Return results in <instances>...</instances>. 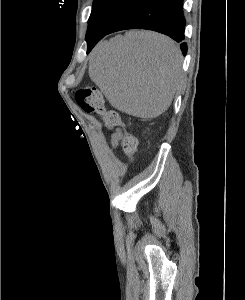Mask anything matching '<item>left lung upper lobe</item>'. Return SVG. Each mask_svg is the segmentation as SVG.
<instances>
[{"instance_id": "5c2ea615", "label": "left lung upper lobe", "mask_w": 245, "mask_h": 300, "mask_svg": "<svg viewBox=\"0 0 245 300\" xmlns=\"http://www.w3.org/2000/svg\"><path fill=\"white\" fill-rule=\"evenodd\" d=\"M139 0H94L86 39L92 32L105 33L114 21Z\"/></svg>"}]
</instances>
